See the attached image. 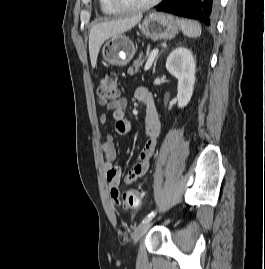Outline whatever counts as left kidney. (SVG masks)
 I'll return each instance as SVG.
<instances>
[{
	"mask_svg": "<svg viewBox=\"0 0 265 269\" xmlns=\"http://www.w3.org/2000/svg\"><path fill=\"white\" fill-rule=\"evenodd\" d=\"M195 60L192 52L184 47L174 49L166 60V69L178 79V107L187 106L195 84Z\"/></svg>",
	"mask_w": 265,
	"mask_h": 269,
	"instance_id": "obj_1",
	"label": "left kidney"
}]
</instances>
